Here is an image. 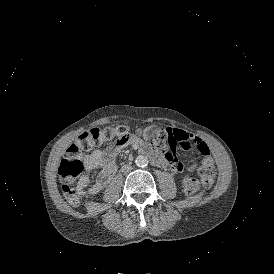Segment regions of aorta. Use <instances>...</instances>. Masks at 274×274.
I'll return each mask as SVG.
<instances>
[{"label":"aorta","instance_id":"762f6f07","mask_svg":"<svg viewBox=\"0 0 274 274\" xmlns=\"http://www.w3.org/2000/svg\"><path fill=\"white\" fill-rule=\"evenodd\" d=\"M135 163L138 167H146L148 165V159L145 156H138Z\"/></svg>","mask_w":274,"mask_h":274}]
</instances>
